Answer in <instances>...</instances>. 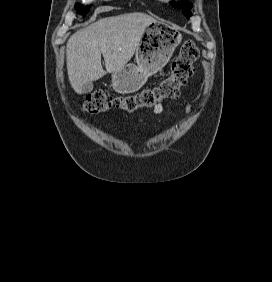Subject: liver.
Masks as SVG:
<instances>
[{
  "label": "liver",
  "mask_w": 272,
  "mask_h": 282,
  "mask_svg": "<svg viewBox=\"0 0 272 282\" xmlns=\"http://www.w3.org/2000/svg\"><path fill=\"white\" fill-rule=\"evenodd\" d=\"M155 22L144 13H127L100 19L74 33L66 50L68 77L74 91L82 94L84 84L123 68L133 57L145 29Z\"/></svg>",
  "instance_id": "1"
}]
</instances>
